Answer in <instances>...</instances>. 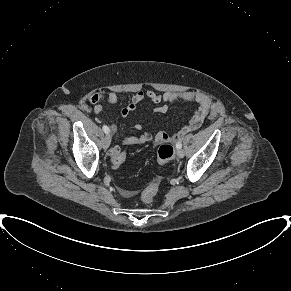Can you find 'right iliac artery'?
Instances as JSON below:
<instances>
[{
    "mask_svg": "<svg viewBox=\"0 0 291 291\" xmlns=\"http://www.w3.org/2000/svg\"><path fill=\"white\" fill-rule=\"evenodd\" d=\"M103 131H104L106 134H108V133L110 132V129H109L108 126L104 125V126H103Z\"/></svg>",
    "mask_w": 291,
    "mask_h": 291,
    "instance_id": "right-iliac-artery-1",
    "label": "right iliac artery"
}]
</instances>
